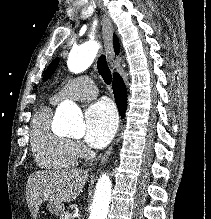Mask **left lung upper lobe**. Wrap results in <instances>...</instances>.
I'll return each instance as SVG.
<instances>
[{
  "instance_id": "1",
  "label": "left lung upper lobe",
  "mask_w": 211,
  "mask_h": 219,
  "mask_svg": "<svg viewBox=\"0 0 211 219\" xmlns=\"http://www.w3.org/2000/svg\"><path fill=\"white\" fill-rule=\"evenodd\" d=\"M58 61L59 59L56 58L55 60L52 61V63L49 65L46 73H45V76H44V80H47L55 71V69L57 68V65H58Z\"/></svg>"
}]
</instances>
